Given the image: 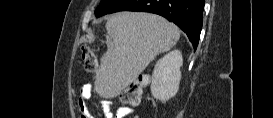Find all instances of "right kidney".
<instances>
[{"mask_svg":"<svg viewBox=\"0 0 273 118\" xmlns=\"http://www.w3.org/2000/svg\"><path fill=\"white\" fill-rule=\"evenodd\" d=\"M182 64L183 58L179 50L169 52L156 63L151 82V93L154 98L167 101L177 94Z\"/></svg>","mask_w":273,"mask_h":118,"instance_id":"ca27d5eb","label":"right kidney"}]
</instances>
